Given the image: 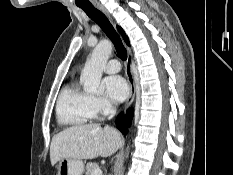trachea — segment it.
Returning <instances> with one entry per match:
<instances>
[{
	"label": "trachea",
	"mask_w": 233,
	"mask_h": 175,
	"mask_svg": "<svg viewBox=\"0 0 233 175\" xmlns=\"http://www.w3.org/2000/svg\"><path fill=\"white\" fill-rule=\"evenodd\" d=\"M78 7L83 9L84 12L101 27V29L104 31V33L107 35V37L114 44L116 51H117V54H118V57L121 60H126L127 51H126L118 33L115 31L114 27L111 25V23L107 19V17L90 3L78 5Z\"/></svg>",
	"instance_id": "obj_1"
}]
</instances>
